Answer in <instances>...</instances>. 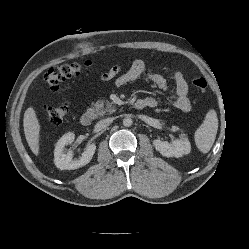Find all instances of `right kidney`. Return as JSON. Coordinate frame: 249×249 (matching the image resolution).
I'll return each mask as SVG.
<instances>
[{
    "instance_id": "obj_1",
    "label": "right kidney",
    "mask_w": 249,
    "mask_h": 249,
    "mask_svg": "<svg viewBox=\"0 0 249 249\" xmlns=\"http://www.w3.org/2000/svg\"><path fill=\"white\" fill-rule=\"evenodd\" d=\"M75 135L69 132L63 135L57 142L54 150V163L61 170H73L88 164L96 150L94 143L88 144L79 160H73V152L65 151V146L74 141Z\"/></svg>"
}]
</instances>
